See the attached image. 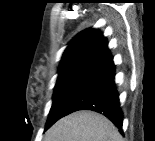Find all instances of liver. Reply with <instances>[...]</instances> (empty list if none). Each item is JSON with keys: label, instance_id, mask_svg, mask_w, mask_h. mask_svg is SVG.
<instances>
[{"label": "liver", "instance_id": "liver-1", "mask_svg": "<svg viewBox=\"0 0 155 141\" xmlns=\"http://www.w3.org/2000/svg\"><path fill=\"white\" fill-rule=\"evenodd\" d=\"M118 129L103 115L78 111L56 122L45 141H122Z\"/></svg>", "mask_w": 155, "mask_h": 141}]
</instances>
